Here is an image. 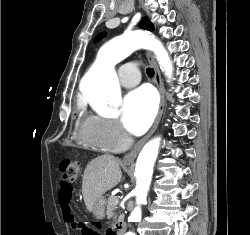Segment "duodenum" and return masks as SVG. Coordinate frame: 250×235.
<instances>
[{
    "label": "duodenum",
    "mask_w": 250,
    "mask_h": 235,
    "mask_svg": "<svg viewBox=\"0 0 250 235\" xmlns=\"http://www.w3.org/2000/svg\"><path fill=\"white\" fill-rule=\"evenodd\" d=\"M123 231H124L123 225H119L111 232V235H123Z\"/></svg>",
    "instance_id": "duodenum-1"
}]
</instances>
